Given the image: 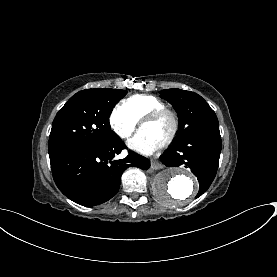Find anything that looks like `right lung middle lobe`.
Masks as SVG:
<instances>
[{
    "instance_id": "right-lung-middle-lobe-1",
    "label": "right lung middle lobe",
    "mask_w": 277,
    "mask_h": 277,
    "mask_svg": "<svg viewBox=\"0 0 277 277\" xmlns=\"http://www.w3.org/2000/svg\"><path fill=\"white\" fill-rule=\"evenodd\" d=\"M127 91L110 88L82 90L58 111L49 136V154L59 150L98 145L117 138L109 117L116 103Z\"/></svg>"
}]
</instances>
